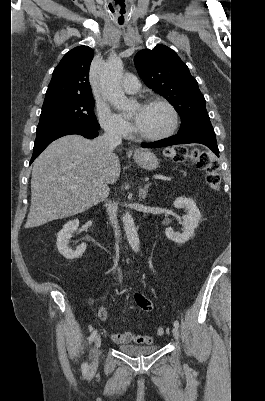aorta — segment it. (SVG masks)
I'll return each instance as SVG.
<instances>
[{
    "label": "aorta",
    "mask_w": 265,
    "mask_h": 401,
    "mask_svg": "<svg viewBox=\"0 0 265 401\" xmlns=\"http://www.w3.org/2000/svg\"><path fill=\"white\" fill-rule=\"evenodd\" d=\"M123 72L122 60H109L106 62L100 78L102 94L116 108H128L129 98L125 96L121 88V76ZM124 231L134 253L140 251V241L137 229L130 213H124L122 217Z\"/></svg>",
    "instance_id": "aorta-1"
}]
</instances>
